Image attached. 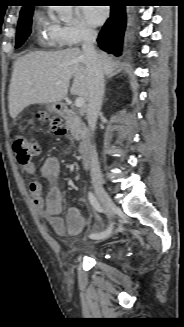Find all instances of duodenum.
I'll return each mask as SVG.
<instances>
[{
  "instance_id": "1",
  "label": "duodenum",
  "mask_w": 184,
  "mask_h": 327,
  "mask_svg": "<svg viewBox=\"0 0 184 327\" xmlns=\"http://www.w3.org/2000/svg\"><path fill=\"white\" fill-rule=\"evenodd\" d=\"M58 114L64 118L70 117L73 115L72 110L66 104H59L56 107ZM79 154L82 157L83 163L88 165L90 162V141L88 133L86 130L83 132L82 140L78 148Z\"/></svg>"
}]
</instances>
